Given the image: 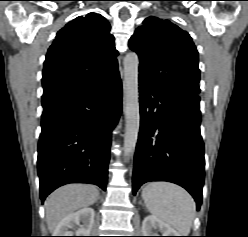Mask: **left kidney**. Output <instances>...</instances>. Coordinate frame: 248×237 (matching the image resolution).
Masks as SVG:
<instances>
[{"label": "left kidney", "instance_id": "obj_1", "mask_svg": "<svg viewBox=\"0 0 248 237\" xmlns=\"http://www.w3.org/2000/svg\"><path fill=\"white\" fill-rule=\"evenodd\" d=\"M159 231L161 236H179L171 226L167 223L161 221L153 215L147 216L142 222V233L143 236H159L157 234Z\"/></svg>", "mask_w": 248, "mask_h": 237}]
</instances>
